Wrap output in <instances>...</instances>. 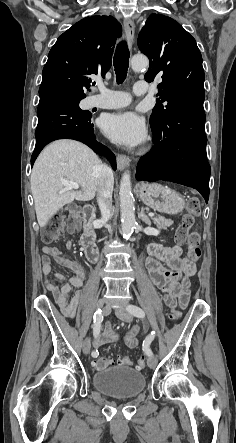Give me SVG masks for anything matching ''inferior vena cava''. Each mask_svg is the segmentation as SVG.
Wrapping results in <instances>:
<instances>
[{"instance_id": "602c4592", "label": "inferior vena cava", "mask_w": 236, "mask_h": 443, "mask_svg": "<svg viewBox=\"0 0 236 443\" xmlns=\"http://www.w3.org/2000/svg\"><path fill=\"white\" fill-rule=\"evenodd\" d=\"M98 179L97 201L101 211V222L105 224L112 213L113 170L106 165H101L98 168Z\"/></svg>"}]
</instances>
